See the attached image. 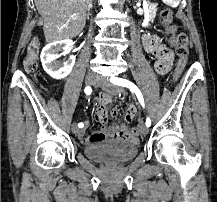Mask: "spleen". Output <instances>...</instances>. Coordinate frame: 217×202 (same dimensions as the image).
Returning <instances> with one entry per match:
<instances>
[{
  "mask_svg": "<svg viewBox=\"0 0 217 202\" xmlns=\"http://www.w3.org/2000/svg\"><path fill=\"white\" fill-rule=\"evenodd\" d=\"M165 5H168V7H179V0H165Z\"/></svg>",
  "mask_w": 217,
  "mask_h": 202,
  "instance_id": "3e777b00",
  "label": "spleen"
}]
</instances>
